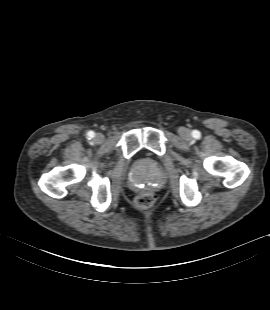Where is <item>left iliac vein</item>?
Returning <instances> with one entry per match:
<instances>
[{
    "mask_svg": "<svg viewBox=\"0 0 270 310\" xmlns=\"http://www.w3.org/2000/svg\"><path fill=\"white\" fill-rule=\"evenodd\" d=\"M179 135L184 140H190L191 139V131L189 129H187V128H181L179 130Z\"/></svg>",
    "mask_w": 270,
    "mask_h": 310,
    "instance_id": "1",
    "label": "left iliac vein"
}]
</instances>
